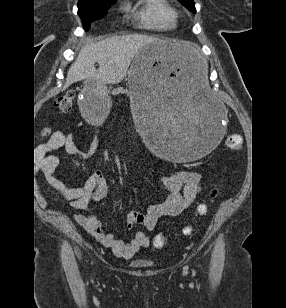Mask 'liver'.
Masks as SVG:
<instances>
[{"mask_svg":"<svg viewBox=\"0 0 286 308\" xmlns=\"http://www.w3.org/2000/svg\"><path fill=\"white\" fill-rule=\"evenodd\" d=\"M161 41L142 34L113 36L97 43L87 42L68 70L65 87L85 79L99 84H118L125 77L129 65L143 47ZM170 54L180 61H190L198 54V47L187 41L165 40ZM99 68H95V63Z\"/></svg>","mask_w":286,"mask_h":308,"instance_id":"liver-1","label":"liver"}]
</instances>
